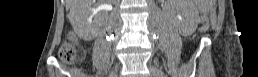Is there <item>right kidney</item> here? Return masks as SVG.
Wrapping results in <instances>:
<instances>
[{
    "label": "right kidney",
    "mask_w": 258,
    "mask_h": 77,
    "mask_svg": "<svg viewBox=\"0 0 258 77\" xmlns=\"http://www.w3.org/2000/svg\"><path fill=\"white\" fill-rule=\"evenodd\" d=\"M95 2V0H92V3ZM87 13L86 18H81L77 16V10H73L74 14V22L73 27L74 30L78 33V35L84 39V40H90L95 33L94 26L91 23V18H88L90 15L89 11H87V8L85 9Z\"/></svg>",
    "instance_id": "right-kidney-1"
}]
</instances>
